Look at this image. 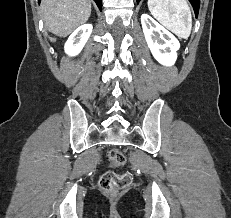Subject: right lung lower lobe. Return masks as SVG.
<instances>
[{
    "mask_svg": "<svg viewBox=\"0 0 231 218\" xmlns=\"http://www.w3.org/2000/svg\"><path fill=\"white\" fill-rule=\"evenodd\" d=\"M40 2V0H38ZM98 6V8L101 10L102 8V0H94Z\"/></svg>",
    "mask_w": 231,
    "mask_h": 218,
    "instance_id": "98d812e1",
    "label": "right lung lower lobe"
}]
</instances>
